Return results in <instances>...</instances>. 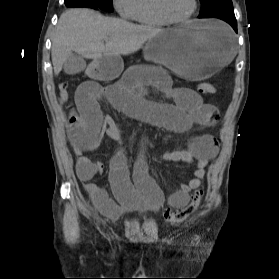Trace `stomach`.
I'll return each instance as SVG.
<instances>
[{
  "mask_svg": "<svg viewBox=\"0 0 279 279\" xmlns=\"http://www.w3.org/2000/svg\"><path fill=\"white\" fill-rule=\"evenodd\" d=\"M231 34L227 24L193 20L179 28L163 30L148 41L145 58L166 65L184 78V82H204L236 59L238 50H235ZM122 69L120 56H108L86 67L82 74L91 75L92 82H113Z\"/></svg>",
  "mask_w": 279,
  "mask_h": 279,
  "instance_id": "stomach-1",
  "label": "stomach"
}]
</instances>
